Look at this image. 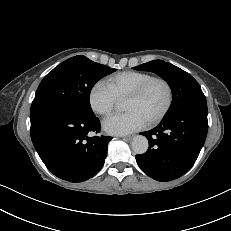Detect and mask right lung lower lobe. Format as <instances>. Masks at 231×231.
Segmentation results:
<instances>
[{"label":"right lung lower lobe","instance_id":"obj_1","mask_svg":"<svg viewBox=\"0 0 231 231\" xmlns=\"http://www.w3.org/2000/svg\"><path fill=\"white\" fill-rule=\"evenodd\" d=\"M97 117L71 110L58 111L31 127V139L46 167L57 177L82 182L102 168L112 137H89L100 132Z\"/></svg>","mask_w":231,"mask_h":231}]
</instances>
